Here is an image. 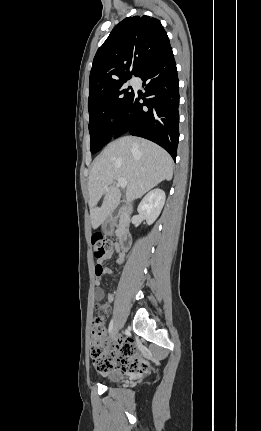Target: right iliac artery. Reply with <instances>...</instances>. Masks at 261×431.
Wrapping results in <instances>:
<instances>
[{
  "instance_id": "obj_1",
  "label": "right iliac artery",
  "mask_w": 261,
  "mask_h": 431,
  "mask_svg": "<svg viewBox=\"0 0 261 431\" xmlns=\"http://www.w3.org/2000/svg\"><path fill=\"white\" fill-rule=\"evenodd\" d=\"M113 324H114V322H113V319H112V320L110 321V324H109V329H108V332H109V333H111V332H112Z\"/></svg>"
}]
</instances>
